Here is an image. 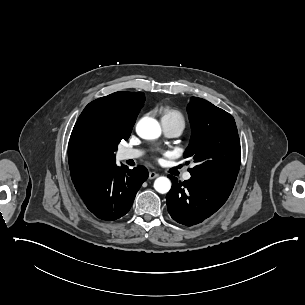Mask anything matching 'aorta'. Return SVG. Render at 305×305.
<instances>
[{"label": "aorta", "instance_id": "obj_1", "mask_svg": "<svg viewBox=\"0 0 305 305\" xmlns=\"http://www.w3.org/2000/svg\"><path fill=\"white\" fill-rule=\"evenodd\" d=\"M137 134L146 140L156 139L161 135V127L157 120L151 117L142 118L136 126ZM154 188L161 194H166L171 189V181L167 177H158L154 181Z\"/></svg>", "mask_w": 305, "mask_h": 305}]
</instances>
